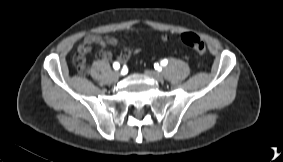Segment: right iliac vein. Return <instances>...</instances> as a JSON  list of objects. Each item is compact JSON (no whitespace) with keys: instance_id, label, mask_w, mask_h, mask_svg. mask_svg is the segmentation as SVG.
Here are the masks:
<instances>
[{"instance_id":"obj_1","label":"right iliac vein","mask_w":283,"mask_h":162,"mask_svg":"<svg viewBox=\"0 0 283 162\" xmlns=\"http://www.w3.org/2000/svg\"><path fill=\"white\" fill-rule=\"evenodd\" d=\"M119 76H120V72L118 71V70H115L114 71V73H113V75H112V78L114 79H118L119 78Z\"/></svg>"}]
</instances>
